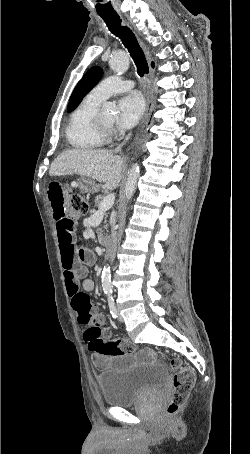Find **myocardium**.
Returning <instances> with one entry per match:
<instances>
[{
	"instance_id": "obj_1",
	"label": "myocardium",
	"mask_w": 250,
	"mask_h": 454,
	"mask_svg": "<svg viewBox=\"0 0 250 454\" xmlns=\"http://www.w3.org/2000/svg\"><path fill=\"white\" fill-rule=\"evenodd\" d=\"M95 129L98 134L102 137L103 141H108L113 138L114 136V129L113 126L106 125L99 113L96 114L94 118Z\"/></svg>"
}]
</instances>
